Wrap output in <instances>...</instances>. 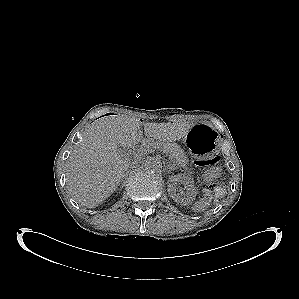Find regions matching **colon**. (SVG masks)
<instances>
[{"label": "colon", "mask_w": 299, "mask_h": 299, "mask_svg": "<svg viewBox=\"0 0 299 299\" xmlns=\"http://www.w3.org/2000/svg\"><path fill=\"white\" fill-rule=\"evenodd\" d=\"M219 162V157H214L207 161L196 162L197 165L205 168L204 178L210 182L204 191L205 197L207 199L213 198L219 190L217 184L212 183V181L215 180L220 174Z\"/></svg>", "instance_id": "1"}]
</instances>
